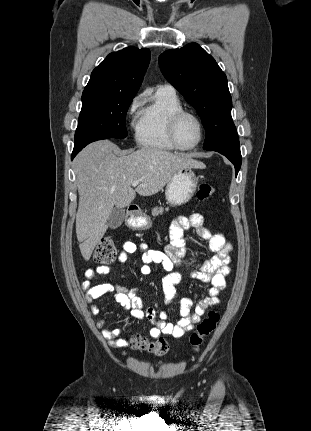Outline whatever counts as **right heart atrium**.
Segmentation results:
<instances>
[{
	"instance_id": "d8ad5b80",
	"label": "right heart atrium",
	"mask_w": 311,
	"mask_h": 431,
	"mask_svg": "<svg viewBox=\"0 0 311 431\" xmlns=\"http://www.w3.org/2000/svg\"><path fill=\"white\" fill-rule=\"evenodd\" d=\"M145 100V94H138L134 96L131 101L129 102L127 113L130 117L131 123L134 124L137 116H138V109L142 106Z\"/></svg>"
}]
</instances>
